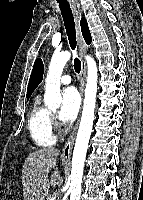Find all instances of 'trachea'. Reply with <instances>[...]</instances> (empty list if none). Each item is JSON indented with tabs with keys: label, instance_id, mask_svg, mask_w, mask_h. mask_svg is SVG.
<instances>
[{
	"label": "trachea",
	"instance_id": "1",
	"mask_svg": "<svg viewBox=\"0 0 143 200\" xmlns=\"http://www.w3.org/2000/svg\"><path fill=\"white\" fill-rule=\"evenodd\" d=\"M59 3V8L63 17L65 29L67 32L68 40L72 50L76 48V32H75V22L74 17L67 0H57ZM74 69L76 73H80L81 62L78 58L74 59Z\"/></svg>",
	"mask_w": 143,
	"mask_h": 200
}]
</instances>
